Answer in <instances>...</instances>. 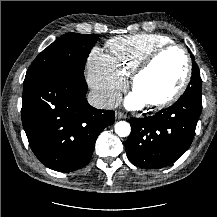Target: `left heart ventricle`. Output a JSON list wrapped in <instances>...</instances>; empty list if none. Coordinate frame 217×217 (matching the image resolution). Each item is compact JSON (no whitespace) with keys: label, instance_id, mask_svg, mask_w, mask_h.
<instances>
[{"label":"left heart ventricle","instance_id":"1","mask_svg":"<svg viewBox=\"0 0 217 217\" xmlns=\"http://www.w3.org/2000/svg\"><path fill=\"white\" fill-rule=\"evenodd\" d=\"M185 68V59L179 51L166 52L138 79L134 92L146 103L161 100L176 91Z\"/></svg>","mask_w":217,"mask_h":217}]
</instances>
